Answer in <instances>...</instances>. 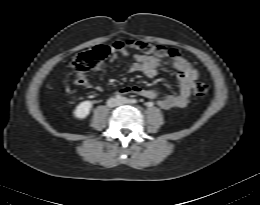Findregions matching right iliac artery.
Segmentation results:
<instances>
[{
	"label": "right iliac artery",
	"mask_w": 260,
	"mask_h": 205,
	"mask_svg": "<svg viewBox=\"0 0 260 205\" xmlns=\"http://www.w3.org/2000/svg\"><path fill=\"white\" fill-rule=\"evenodd\" d=\"M122 98H123L122 96L116 95V99L120 100V99H122Z\"/></svg>",
	"instance_id": "82829eb1"
}]
</instances>
